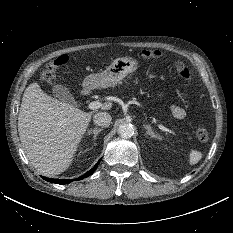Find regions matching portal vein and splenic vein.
<instances>
[{
    "instance_id": "obj_1",
    "label": "portal vein and splenic vein",
    "mask_w": 233,
    "mask_h": 233,
    "mask_svg": "<svg viewBox=\"0 0 233 233\" xmlns=\"http://www.w3.org/2000/svg\"><path fill=\"white\" fill-rule=\"evenodd\" d=\"M101 107H103V104L101 102H99V101H93L88 105V108L91 109V110H96V109H99ZM159 128L161 130L165 131V132H168L170 134L175 135L174 131L167 129L166 127H164L162 125H159Z\"/></svg>"
}]
</instances>
